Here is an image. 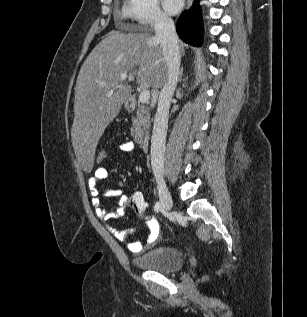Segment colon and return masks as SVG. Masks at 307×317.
I'll list each match as a JSON object with an SVG mask.
<instances>
[{
	"label": "colon",
	"instance_id": "5ec220e1",
	"mask_svg": "<svg viewBox=\"0 0 307 317\" xmlns=\"http://www.w3.org/2000/svg\"><path fill=\"white\" fill-rule=\"evenodd\" d=\"M107 159V152L105 149H98L95 154V161L97 164H103ZM128 205L135 211V213L144 220L150 218L147 213V203L144 200L142 193L134 192L129 196Z\"/></svg>",
	"mask_w": 307,
	"mask_h": 317
}]
</instances>
